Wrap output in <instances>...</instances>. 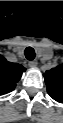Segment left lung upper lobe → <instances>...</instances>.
Returning a JSON list of instances; mask_svg holds the SVG:
<instances>
[{
  "mask_svg": "<svg viewBox=\"0 0 63 123\" xmlns=\"http://www.w3.org/2000/svg\"><path fill=\"white\" fill-rule=\"evenodd\" d=\"M48 94L57 102H63V65L52 68L44 74Z\"/></svg>",
  "mask_w": 63,
  "mask_h": 123,
  "instance_id": "left-lung-upper-lobe-1",
  "label": "left lung upper lobe"
}]
</instances>
